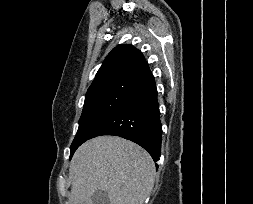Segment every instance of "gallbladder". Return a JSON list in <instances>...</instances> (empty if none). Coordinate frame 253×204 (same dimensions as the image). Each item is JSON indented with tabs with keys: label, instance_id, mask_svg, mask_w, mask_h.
Instances as JSON below:
<instances>
[{
	"label": "gallbladder",
	"instance_id": "bac80fb5",
	"mask_svg": "<svg viewBox=\"0 0 253 204\" xmlns=\"http://www.w3.org/2000/svg\"><path fill=\"white\" fill-rule=\"evenodd\" d=\"M92 204H110L108 194L102 190L96 191L92 196Z\"/></svg>",
	"mask_w": 253,
	"mask_h": 204
}]
</instances>
